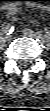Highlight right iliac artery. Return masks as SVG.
Masks as SVG:
<instances>
[{
	"mask_svg": "<svg viewBox=\"0 0 50 111\" xmlns=\"http://www.w3.org/2000/svg\"><path fill=\"white\" fill-rule=\"evenodd\" d=\"M13 31H14V27L9 24L2 28V32L7 35L11 34Z\"/></svg>",
	"mask_w": 50,
	"mask_h": 111,
	"instance_id": "right-iliac-artery-1",
	"label": "right iliac artery"
}]
</instances>
